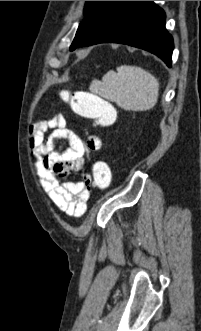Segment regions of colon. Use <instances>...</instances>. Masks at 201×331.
Instances as JSON below:
<instances>
[{
    "instance_id": "5ec220e1",
    "label": "colon",
    "mask_w": 201,
    "mask_h": 331,
    "mask_svg": "<svg viewBox=\"0 0 201 331\" xmlns=\"http://www.w3.org/2000/svg\"><path fill=\"white\" fill-rule=\"evenodd\" d=\"M66 101L73 111L98 127H108L116 120L115 108L102 96L89 91L66 94ZM93 185L98 190H106L111 184V171L105 162H96L92 167Z\"/></svg>"
}]
</instances>
